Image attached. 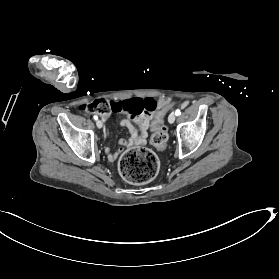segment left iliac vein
<instances>
[{
    "label": "left iliac vein",
    "mask_w": 279,
    "mask_h": 279,
    "mask_svg": "<svg viewBox=\"0 0 279 279\" xmlns=\"http://www.w3.org/2000/svg\"><path fill=\"white\" fill-rule=\"evenodd\" d=\"M175 119H176V115L174 112H172L168 117V121L170 124H172V123H174Z\"/></svg>",
    "instance_id": "4c4485c4"
}]
</instances>
